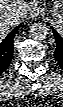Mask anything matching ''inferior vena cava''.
Returning <instances> with one entry per match:
<instances>
[{
    "label": "inferior vena cava",
    "mask_w": 63,
    "mask_h": 107,
    "mask_svg": "<svg viewBox=\"0 0 63 107\" xmlns=\"http://www.w3.org/2000/svg\"><path fill=\"white\" fill-rule=\"evenodd\" d=\"M18 13L12 15L11 17H9V23H11L12 25L16 24L18 22Z\"/></svg>",
    "instance_id": "602c4592"
}]
</instances>
